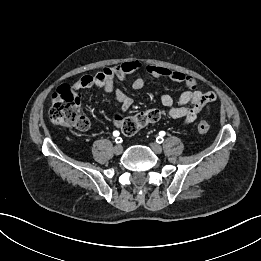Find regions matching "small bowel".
Wrapping results in <instances>:
<instances>
[{
  "mask_svg": "<svg viewBox=\"0 0 261 261\" xmlns=\"http://www.w3.org/2000/svg\"><path fill=\"white\" fill-rule=\"evenodd\" d=\"M145 70L152 77H163L176 82H183L187 86L177 100L169 94H162L161 103L168 108V116L172 119H181L184 124L194 122L198 115L203 111H208L209 104L216 98L213 92H202L197 89L196 81L185 74L174 71L158 65L143 66L139 61L131 60L119 65L108 67L103 72L90 76L86 75L77 82L79 88H90L93 86L101 87L105 92L115 93L116 101L119 103L121 111H127L133 100L130 96L121 90H115V80H124L128 75ZM145 87V81L142 78H136L132 82L134 90H142ZM119 117H115L116 125H119Z\"/></svg>",
  "mask_w": 261,
  "mask_h": 261,
  "instance_id": "small-bowel-1",
  "label": "small bowel"
}]
</instances>
